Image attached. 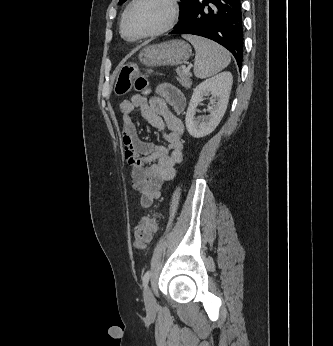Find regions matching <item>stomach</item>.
I'll list each match as a JSON object with an SVG mask.
<instances>
[{"mask_svg":"<svg viewBox=\"0 0 333 346\" xmlns=\"http://www.w3.org/2000/svg\"><path fill=\"white\" fill-rule=\"evenodd\" d=\"M192 54L191 46L182 40H172L145 47L139 54L140 62L148 67L177 66Z\"/></svg>","mask_w":333,"mask_h":346,"instance_id":"obj_1","label":"stomach"}]
</instances>
